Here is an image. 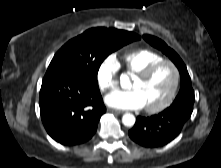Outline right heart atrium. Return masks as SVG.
<instances>
[{"mask_svg":"<svg viewBox=\"0 0 221 168\" xmlns=\"http://www.w3.org/2000/svg\"><path fill=\"white\" fill-rule=\"evenodd\" d=\"M119 62L114 54L106 56L97 68L96 78L99 88L106 92L118 85Z\"/></svg>","mask_w":221,"mask_h":168,"instance_id":"obj_1","label":"right heart atrium"}]
</instances>
